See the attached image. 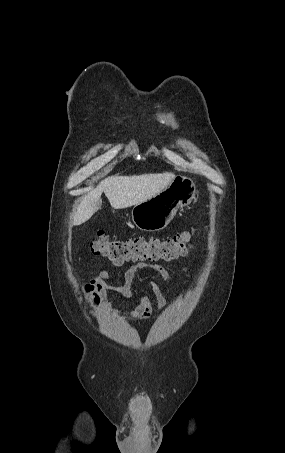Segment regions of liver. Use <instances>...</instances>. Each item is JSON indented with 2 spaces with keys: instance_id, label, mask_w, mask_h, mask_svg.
Here are the masks:
<instances>
[{
  "instance_id": "1",
  "label": "liver",
  "mask_w": 285,
  "mask_h": 453,
  "mask_svg": "<svg viewBox=\"0 0 285 453\" xmlns=\"http://www.w3.org/2000/svg\"><path fill=\"white\" fill-rule=\"evenodd\" d=\"M170 172L134 176H110L85 195L74 213L73 224L80 225L89 220L102 205L104 192L114 209H124L142 203L155 196L173 180Z\"/></svg>"
}]
</instances>
